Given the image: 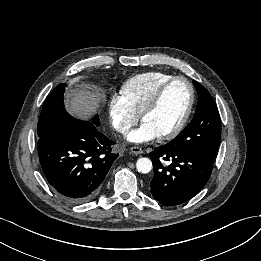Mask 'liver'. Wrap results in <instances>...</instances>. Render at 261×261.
Returning a JSON list of instances; mask_svg holds the SVG:
<instances>
[{"label":"liver","instance_id":"liver-1","mask_svg":"<svg viewBox=\"0 0 261 261\" xmlns=\"http://www.w3.org/2000/svg\"><path fill=\"white\" fill-rule=\"evenodd\" d=\"M101 94L92 86L84 85L69 91L65 103L67 111L80 119H86L101 102Z\"/></svg>","mask_w":261,"mask_h":261}]
</instances>
